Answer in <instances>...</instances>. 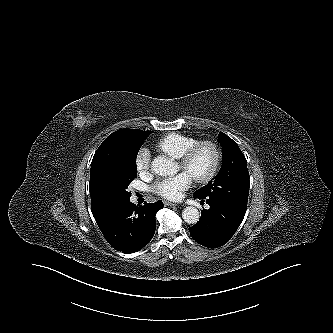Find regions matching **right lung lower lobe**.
<instances>
[{
  "label": "right lung lower lobe",
  "instance_id": "98d812e1",
  "mask_svg": "<svg viewBox=\"0 0 333 333\" xmlns=\"http://www.w3.org/2000/svg\"><path fill=\"white\" fill-rule=\"evenodd\" d=\"M162 207L161 201L136 206L127 199L113 204L96 222L114 249L133 253L141 250L152 239L155 215Z\"/></svg>",
  "mask_w": 333,
  "mask_h": 333
}]
</instances>
